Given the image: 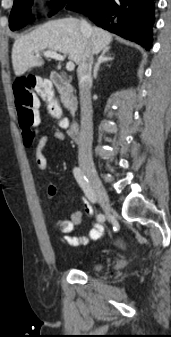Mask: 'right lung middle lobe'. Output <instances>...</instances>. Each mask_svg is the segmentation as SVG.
<instances>
[{
	"mask_svg": "<svg viewBox=\"0 0 171 337\" xmlns=\"http://www.w3.org/2000/svg\"><path fill=\"white\" fill-rule=\"evenodd\" d=\"M74 0H55L54 6L61 8L65 2L71 3ZM33 0H14V5L9 18V27L12 31L20 29L30 21V8Z\"/></svg>",
	"mask_w": 171,
	"mask_h": 337,
	"instance_id": "right-lung-middle-lobe-1",
	"label": "right lung middle lobe"
}]
</instances>
